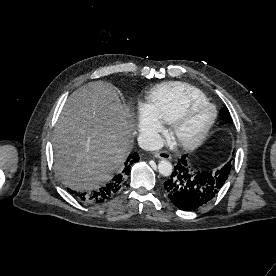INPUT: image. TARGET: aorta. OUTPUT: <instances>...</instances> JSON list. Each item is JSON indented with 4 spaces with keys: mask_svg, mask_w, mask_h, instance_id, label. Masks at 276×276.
Returning <instances> with one entry per match:
<instances>
[{
    "mask_svg": "<svg viewBox=\"0 0 276 276\" xmlns=\"http://www.w3.org/2000/svg\"><path fill=\"white\" fill-rule=\"evenodd\" d=\"M158 171L163 176H170L173 172V166L168 160H161L158 164Z\"/></svg>",
    "mask_w": 276,
    "mask_h": 276,
    "instance_id": "aorta-1",
    "label": "aorta"
}]
</instances>
